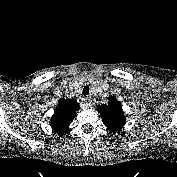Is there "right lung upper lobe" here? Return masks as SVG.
<instances>
[{"instance_id":"cb5924a9","label":"right lung upper lobe","mask_w":177,"mask_h":177,"mask_svg":"<svg viewBox=\"0 0 177 177\" xmlns=\"http://www.w3.org/2000/svg\"><path fill=\"white\" fill-rule=\"evenodd\" d=\"M79 107L76 100L61 98L58 102V107L54 110V114L51 118L50 125L54 132L59 135L66 134Z\"/></svg>"}]
</instances>
